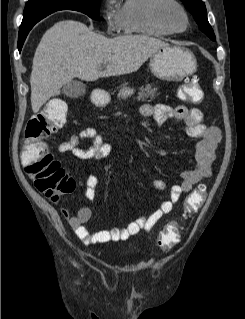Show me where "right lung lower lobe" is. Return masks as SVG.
Listing matches in <instances>:
<instances>
[{"label": "right lung lower lobe", "mask_w": 245, "mask_h": 319, "mask_svg": "<svg viewBox=\"0 0 245 319\" xmlns=\"http://www.w3.org/2000/svg\"><path fill=\"white\" fill-rule=\"evenodd\" d=\"M33 26L28 27L26 29H22V30L19 31L18 48H19L20 51L22 49L23 43H24L29 31L32 29Z\"/></svg>", "instance_id": "1"}]
</instances>
